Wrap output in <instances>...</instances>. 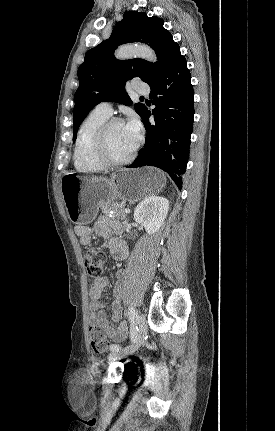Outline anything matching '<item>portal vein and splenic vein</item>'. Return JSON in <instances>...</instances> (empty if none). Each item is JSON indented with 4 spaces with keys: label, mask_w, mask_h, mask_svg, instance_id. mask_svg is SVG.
I'll list each match as a JSON object with an SVG mask.
<instances>
[{
    "label": "portal vein and splenic vein",
    "mask_w": 275,
    "mask_h": 431,
    "mask_svg": "<svg viewBox=\"0 0 275 431\" xmlns=\"http://www.w3.org/2000/svg\"><path fill=\"white\" fill-rule=\"evenodd\" d=\"M123 212L126 213V214H128V213H130V209H128V208L123 209Z\"/></svg>",
    "instance_id": "obj_1"
}]
</instances>
